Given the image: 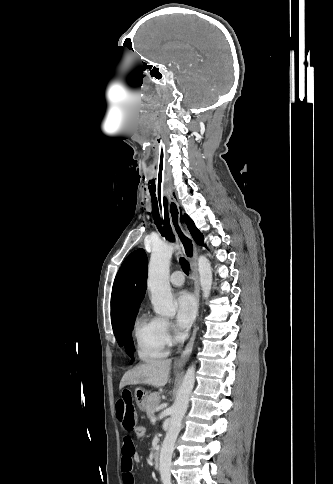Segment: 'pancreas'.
<instances>
[{
    "instance_id": "pancreas-1",
    "label": "pancreas",
    "mask_w": 333,
    "mask_h": 484,
    "mask_svg": "<svg viewBox=\"0 0 333 484\" xmlns=\"http://www.w3.org/2000/svg\"><path fill=\"white\" fill-rule=\"evenodd\" d=\"M160 403L159 393H152L148 396L145 411L148 418L155 417V409Z\"/></svg>"
}]
</instances>
